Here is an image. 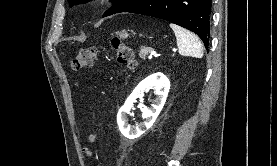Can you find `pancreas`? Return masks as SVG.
Here are the masks:
<instances>
[{"label": "pancreas", "mask_w": 277, "mask_h": 166, "mask_svg": "<svg viewBox=\"0 0 277 166\" xmlns=\"http://www.w3.org/2000/svg\"><path fill=\"white\" fill-rule=\"evenodd\" d=\"M150 51H152V48L150 47H141L139 51V57L144 59Z\"/></svg>", "instance_id": "pancreas-1"}]
</instances>
